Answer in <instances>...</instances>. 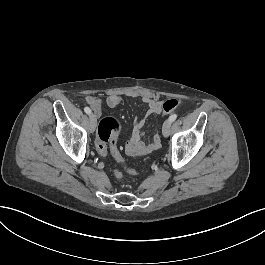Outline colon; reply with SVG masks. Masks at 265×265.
Wrapping results in <instances>:
<instances>
[{
  "label": "colon",
  "instance_id": "colon-1",
  "mask_svg": "<svg viewBox=\"0 0 265 265\" xmlns=\"http://www.w3.org/2000/svg\"><path fill=\"white\" fill-rule=\"evenodd\" d=\"M182 106V102L178 99L173 100H166L165 104L163 105V110L165 111L166 115H171L172 110L178 111L179 107ZM121 132V124L115 117L112 116H105L100 120L99 127H98V134H97V144L96 148L97 151L105 155L107 149L110 146H114L117 144L118 136ZM114 158L117 162L122 163L123 159L120 154L115 153ZM131 174H134L135 171L129 170Z\"/></svg>",
  "mask_w": 265,
  "mask_h": 265
}]
</instances>
